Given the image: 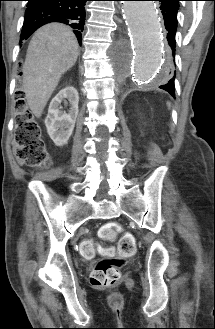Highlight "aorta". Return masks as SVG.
I'll list each match as a JSON object with an SVG mask.
<instances>
[{
  "instance_id": "obj_1",
  "label": "aorta",
  "mask_w": 215,
  "mask_h": 329,
  "mask_svg": "<svg viewBox=\"0 0 215 329\" xmlns=\"http://www.w3.org/2000/svg\"><path fill=\"white\" fill-rule=\"evenodd\" d=\"M122 12L134 46L133 70L142 84L163 78L164 42L162 24L152 1H123Z\"/></svg>"
}]
</instances>
